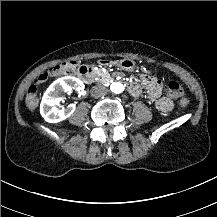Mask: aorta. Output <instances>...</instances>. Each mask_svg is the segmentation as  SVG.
Segmentation results:
<instances>
[{"label": "aorta", "instance_id": "aorta-1", "mask_svg": "<svg viewBox=\"0 0 217 217\" xmlns=\"http://www.w3.org/2000/svg\"><path fill=\"white\" fill-rule=\"evenodd\" d=\"M111 89L114 93H121L124 91V86L123 84L117 82V83L112 84Z\"/></svg>", "mask_w": 217, "mask_h": 217}]
</instances>
